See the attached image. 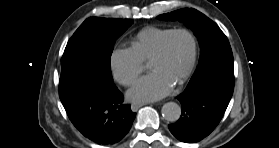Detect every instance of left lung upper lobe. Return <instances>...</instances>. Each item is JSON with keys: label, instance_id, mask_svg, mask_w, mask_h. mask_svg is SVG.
Wrapping results in <instances>:
<instances>
[{"label": "left lung upper lobe", "instance_id": "left-lung-upper-lobe-1", "mask_svg": "<svg viewBox=\"0 0 279 148\" xmlns=\"http://www.w3.org/2000/svg\"><path fill=\"white\" fill-rule=\"evenodd\" d=\"M158 19L179 20L190 27L198 38L200 59L192 78L214 66L233 64V54L227 37L215 22L201 12L185 8L159 15Z\"/></svg>", "mask_w": 279, "mask_h": 148}]
</instances>
